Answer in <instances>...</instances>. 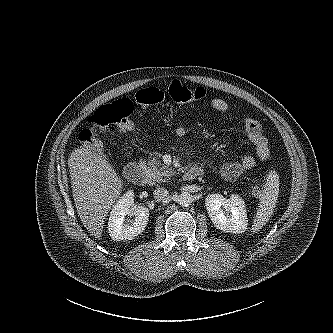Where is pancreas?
Listing matches in <instances>:
<instances>
[{
    "mask_svg": "<svg viewBox=\"0 0 333 333\" xmlns=\"http://www.w3.org/2000/svg\"><path fill=\"white\" fill-rule=\"evenodd\" d=\"M146 173L149 176L151 184L166 182L174 174V170L161 164L160 159L152 158L148 161Z\"/></svg>",
    "mask_w": 333,
    "mask_h": 333,
    "instance_id": "1",
    "label": "pancreas"
}]
</instances>
